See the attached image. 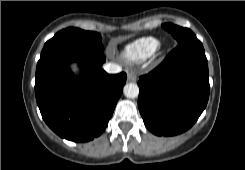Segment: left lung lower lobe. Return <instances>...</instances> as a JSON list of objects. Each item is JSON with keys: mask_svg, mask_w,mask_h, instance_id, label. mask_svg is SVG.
Instances as JSON below:
<instances>
[{"mask_svg": "<svg viewBox=\"0 0 245 170\" xmlns=\"http://www.w3.org/2000/svg\"><path fill=\"white\" fill-rule=\"evenodd\" d=\"M138 107L146 127L158 136L187 131L209 98L204 49L178 45L149 74L139 78Z\"/></svg>", "mask_w": 245, "mask_h": 170, "instance_id": "obj_1", "label": "left lung lower lobe"}]
</instances>
